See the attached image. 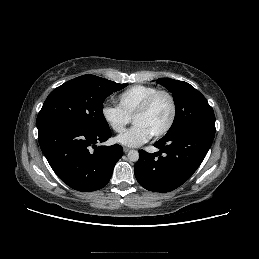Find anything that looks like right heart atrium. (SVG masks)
Listing matches in <instances>:
<instances>
[{
  "instance_id": "obj_1",
  "label": "right heart atrium",
  "mask_w": 259,
  "mask_h": 259,
  "mask_svg": "<svg viewBox=\"0 0 259 259\" xmlns=\"http://www.w3.org/2000/svg\"><path fill=\"white\" fill-rule=\"evenodd\" d=\"M101 115L105 123L116 133L123 132L130 122V117L124 114L117 106L103 105Z\"/></svg>"
}]
</instances>
